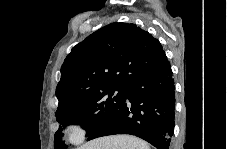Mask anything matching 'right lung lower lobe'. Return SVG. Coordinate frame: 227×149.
Instances as JSON below:
<instances>
[{
	"instance_id": "98d812e1",
	"label": "right lung lower lobe",
	"mask_w": 227,
	"mask_h": 149,
	"mask_svg": "<svg viewBox=\"0 0 227 149\" xmlns=\"http://www.w3.org/2000/svg\"><path fill=\"white\" fill-rule=\"evenodd\" d=\"M174 117L175 88L171 66L166 61L127 86L122 106L96 127L87 140L130 134L146 140L157 149H169Z\"/></svg>"
}]
</instances>
